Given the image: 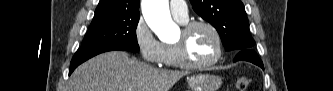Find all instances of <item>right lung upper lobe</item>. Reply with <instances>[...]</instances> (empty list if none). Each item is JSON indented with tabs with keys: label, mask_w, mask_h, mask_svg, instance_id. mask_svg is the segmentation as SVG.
Listing matches in <instances>:
<instances>
[{
	"label": "right lung upper lobe",
	"mask_w": 333,
	"mask_h": 91,
	"mask_svg": "<svg viewBox=\"0 0 333 91\" xmlns=\"http://www.w3.org/2000/svg\"><path fill=\"white\" fill-rule=\"evenodd\" d=\"M121 14H139V0H100L94 18Z\"/></svg>",
	"instance_id": "obj_1"
}]
</instances>
